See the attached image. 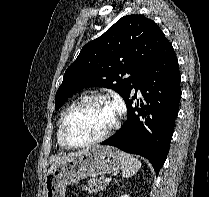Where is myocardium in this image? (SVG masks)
I'll return each mask as SVG.
<instances>
[{"label": "myocardium", "instance_id": "obj_1", "mask_svg": "<svg viewBox=\"0 0 209 197\" xmlns=\"http://www.w3.org/2000/svg\"><path fill=\"white\" fill-rule=\"evenodd\" d=\"M94 102H105V103L112 104V101L104 95H101V94L88 95V96L82 98L81 100H79L78 102H76L63 116V119L61 122V128H60V136H61L62 143L66 147L82 148V147L90 146L93 144H97V143L102 142L105 139H107L119 127L120 113H121L120 107H119V110L116 112L114 122L111 124V126L104 133H102L101 135H99L93 139H89V140H86L83 142H79V143L72 142L69 139L68 134H67V127H68V123H69L70 118L79 109H81L82 107H84L87 104L94 103Z\"/></svg>", "mask_w": 209, "mask_h": 197}]
</instances>
